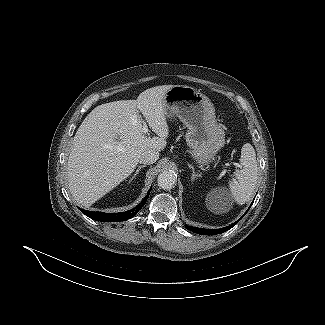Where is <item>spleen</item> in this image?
I'll return each mask as SVG.
<instances>
[{"label": "spleen", "instance_id": "obj_1", "mask_svg": "<svg viewBox=\"0 0 325 325\" xmlns=\"http://www.w3.org/2000/svg\"><path fill=\"white\" fill-rule=\"evenodd\" d=\"M240 162L243 167L235 171L236 179L229 181V188L235 202L242 205L253 195L258 179L256 154L251 144L243 145Z\"/></svg>", "mask_w": 325, "mask_h": 325}]
</instances>
